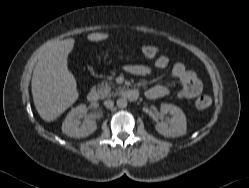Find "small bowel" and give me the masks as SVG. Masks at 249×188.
<instances>
[{"label":"small bowel","mask_w":249,"mask_h":188,"mask_svg":"<svg viewBox=\"0 0 249 188\" xmlns=\"http://www.w3.org/2000/svg\"><path fill=\"white\" fill-rule=\"evenodd\" d=\"M169 58L161 55L155 61V68L164 69L169 66ZM126 71L134 76H150L153 69L146 65H128ZM171 78L181 85L178 96L181 99H192L202 92V83L192 70L187 69L182 63L176 62L171 69ZM170 93V87L167 84H160L149 88L146 96L149 99H158Z\"/></svg>","instance_id":"small-bowel-1"}]
</instances>
